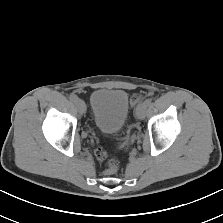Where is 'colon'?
<instances>
[{
    "label": "colon",
    "mask_w": 223,
    "mask_h": 223,
    "mask_svg": "<svg viewBox=\"0 0 223 223\" xmlns=\"http://www.w3.org/2000/svg\"><path fill=\"white\" fill-rule=\"evenodd\" d=\"M144 97H145L144 93L134 94L131 97V104L133 106L138 105L144 99ZM95 155L100 161H105V163H106L105 172L107 174H114L118 170V168L120 166L119 159L117 157L108 158L105 150L102 147L96 148Z\"/></svg>",
    "instance_id": "5ec220e1"
}]
</instances>
